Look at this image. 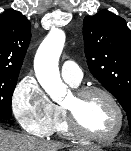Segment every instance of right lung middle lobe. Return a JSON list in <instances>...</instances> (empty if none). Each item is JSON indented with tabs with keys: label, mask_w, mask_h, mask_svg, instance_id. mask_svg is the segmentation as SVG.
<instances>
[{
	"label": "right lung middle lobe",
	"mask_w": 131,
	"mask_h": 151,
	"mask_svg": "<svg viewBox=\"0 0 131 151\" xmlns=\"http://www.w3.org/2000/svg\"><path fill=\"white\" fill-rule=\"evenodd\" d=\"M19 72H0V119H10L11 99Z\"/></svg>",
	"instance_id": "1"
}]
</instances>
